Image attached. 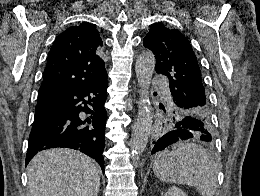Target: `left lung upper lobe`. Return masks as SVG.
I'll list each match as a JSON object with an SVG mask.
<instances>
[{
	"label": "left lung upper lobe",
	"mask_w": 260,
	"mask_h": 196,
	"mask_svg": "<svg viewBox=\"0 0 260 196\" xmlns=\"http://www.w3.org/2000/svg\"><path fill=\"white\" fill-rule=\"evenodd\" d=\"M143 44L155 54L156 72L169 78L173 97L166 110L162 104L160 106L164 112L152 132L151 147L184 119L203 123L204 131L196 132L193 137L206 141L203 135H213L211 107L197 57L188 39L179 30L158 22L151 26Z\"/></svg>",
	"instance_id": "left-lung-upper-lobe-1"
}]
</instances>
